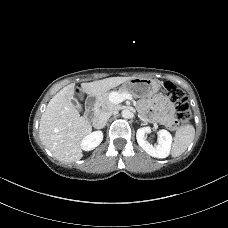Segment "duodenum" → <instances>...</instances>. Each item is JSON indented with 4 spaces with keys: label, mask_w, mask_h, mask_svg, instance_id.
<instances>
[{
    "label": "duodenum",
    "mask_w": 228,
    "mask_h": 228,
    "mask_svg": "<svg viewBox=\"0 0 228 228\" xmlns=\"http://www.w3.org/2000/svg\"><path fill=\"white\" fill-rule=\"evenodd\" d=\"M94 103H95V98H92L88 101V104H87V113H91L92 112V109L94 107Z\"/></svg>",
    "instance_id": "obj_1"
}]
</instances>
